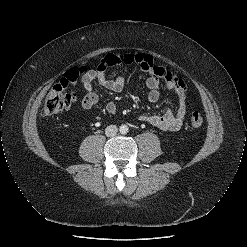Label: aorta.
Listing matches in <instances>:
<instances>
[{
    "mask_svg": "<svg viewBox=\"0 0 247 247\" xmlns=\"http://www.w3.org/2000/svg\"><path fill=\"white\" fill-rule=\"evenodd\" d=\"M128 130H129V128H128L127 125H121L120 128H119V131H120L121 134L128 133Z\"/></svg>",
    "mask_w": 247,
    "mask_h": 247,
    "instance_id": "1",
    "label": "aorta"
}]
</instances>
